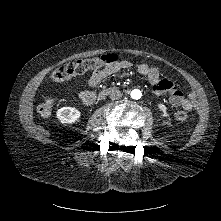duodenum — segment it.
<instances>
[{"label":"duodenum","mask_w":221,"mask_h":221,"mask_svg":"<svg viewBox=\"0 0 221 221\" xmlns=\"http://www.w3.org/2000/svg\"><path fill=\"white\" fill-rule=\"evenodd\" d=\"M106 93H107L106 91L100 92V93H99V97H100V98H101V97H104V96L106 95Z\"/></svg>","instance_id":"obj_1"}]
</instances>
